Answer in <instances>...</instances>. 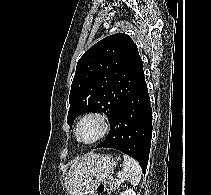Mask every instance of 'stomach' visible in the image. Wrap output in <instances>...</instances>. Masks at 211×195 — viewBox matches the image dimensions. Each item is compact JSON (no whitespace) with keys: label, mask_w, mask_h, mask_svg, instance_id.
Masks as SVG:
<instances>
[{"label":"stomach","mask_w":211,"mask_h":195,"mask_svg":"<svg viewBox=\"0 0 211 195\" xmlns=\"http://www.w3.org/2000/svg\"><path fill=\"white\" fill-rule=\"evenodd\" d=\"M116 167V161L111 155L102 154L92 158L87 165V173L80 195H93L94 188L103 182Z\"/></svg>","instance_id":"stomach-1"}]
</instances>
